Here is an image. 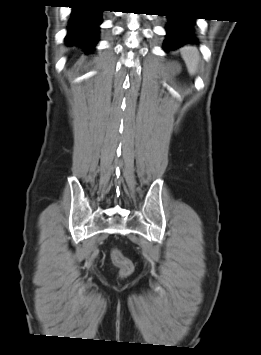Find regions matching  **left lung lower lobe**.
Segmentation results:
<instances>
[{
  "mask_svg": "<svg viewBox=\"0 0 261 355\" xmlns=\"http://www.w3.org/2000/svg\"><path fill=\"white\" fill-rule=\"evenodd\" d=\"M188 16H169V23L166 27V40L164 50H172L186 44L196 43L194 21Z\"/></svg>",
  "mask_w": 261,
  "mask_h": 355,
  "instance_id": "obj_1",
  "label": "left lung lower lobe"
}]
</instances>
